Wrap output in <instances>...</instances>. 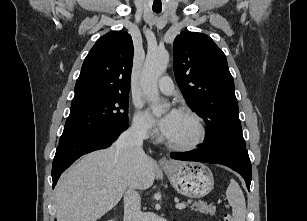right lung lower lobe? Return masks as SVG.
<instances>
[{
    "instance_id": "obj_1",
    "label": "right lung lower lobe",
    "mask_w": 307,
    "mask_h": 221,
    "mask_svg": "<svg viewBox=\"0 0 307 221\" xmlns=\"http://www.w3.org/2000/svg\"><path fill=\"white\" fill-rule=\"evenodd\" d=\"M127 127L128 124L59 143L52 166L53 188L56 185L60 175L75 160H77L83 154L109 147Z\"/></svg>"
}]
</instances>
